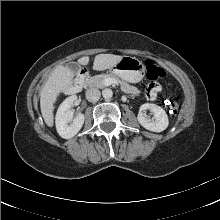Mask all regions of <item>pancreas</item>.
<instances>
[{
    "instance_id": "1",
    "label": "pancreas",
    "mask_w": 220,
    "mask_h": 220,
    "mask_svg": "<svg viewBox=\"0 0 220 220\" xmlns=\"http://www.w3.org/2000/svg\"><path fill=\"white\" fill-rule=\"evenodd\" d=\"M107 78H111V79H114L116 81H118L121 85V88L123 91L127 92V93H130L134 96H137L140 94V91L135 87V86H132L130 84H128L127 82L125 81H121L117 75L113 74V73H110V74H100V75H95L93 77H87L85 79V83L87 84V86L89 87H97V88H104L105 87V79Z\"/></svg>"
}]
</instances>
